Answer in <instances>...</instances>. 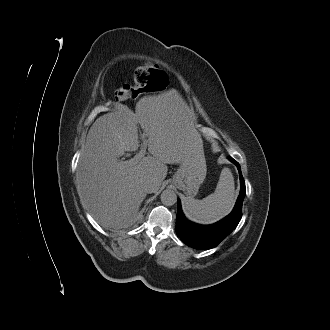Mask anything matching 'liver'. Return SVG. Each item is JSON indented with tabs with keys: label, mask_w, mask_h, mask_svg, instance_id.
<instances>
[{
	"label": "liver",
	"mask_w": 330,
	"mask_h": 330,
	"mask_svg": "<svg viewBox=\"0 0 330 330\" xmlns=\"http://www.w3.org/2000/svg\"><path fill=\"white\" fill-rule=\"evenodd\" d=\"M138 123L150 155L137 163L119 161L125 151L139 148ZM202 149L186 104L168 97L142 98L135 113L126 109L104 114L90 127L76 174L79 196L102 227L127 228L137 220L146 197L144 181L154 179L159 189L166 164L181 163Z\"/></svg>",
	"instance_id": "liver-1"
}]
</instances>
